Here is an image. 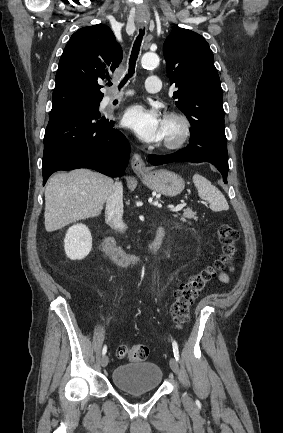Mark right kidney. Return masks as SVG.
Returning a JSON list of instances; mask_svg holds the SVG:
<instances>
[{
    "label": "right kidney",
    "mask_w": 283,
    "mask_h": 433,
    "mask_svg": "<svg viewBox=\"0 0 283 433\" xmlns=\"http://www.w3.org/2000/svg\"><path fill=\"white\" fill-rule=\"evenodd\" d=\"M65 253L71 260L84 259L92 249V236L83 224L71 226L64 239Z\"/></svg>",
    "instance_id": "obj_1"
}]
</instances>
